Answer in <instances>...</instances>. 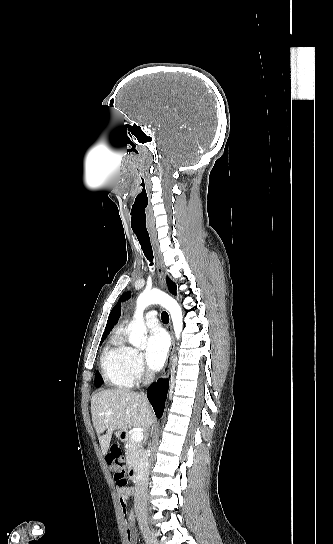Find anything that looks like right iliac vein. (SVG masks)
<instances>
[{"label": "right iliac vein", "mask_w": 333, "mask_h": 544, "mask_svg": "<svg viewBox=\"0 0 333 544\" xmlns=\"http://www.w3.org/2000/svg\"><path fill=\"white\" fill-rule=\"evenodd\" d=\"M140 527L147 544H159L154 533L145 523H142Z\"/></svg>", "instance_id": "obj_1"}]
</instances>
